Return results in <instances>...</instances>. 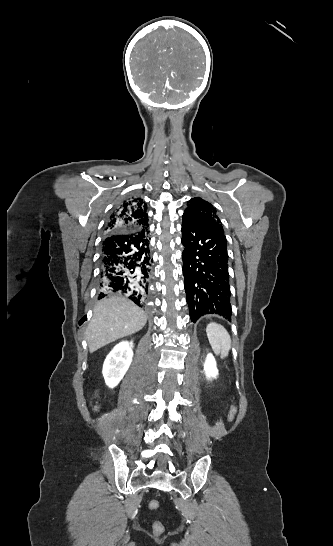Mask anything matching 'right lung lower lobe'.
<instances>
[{
  "label": "right lung lower lobe",
  "instance_id": "1",
  "mask_svg": "<svg viewBox=\"0 0 333 546\" xmlns=\"http://www.w3.org/2000/svg\"><path fill=\"white\" fill-rule=\"evenodd\" d=\"M147 234L145 226L104 235L99 299L115 292L128 296L139 306L145 303L152 263Z\"/></svg>",
  "mask_w": 333,
  "mask_h": 546
}]
</instances>
